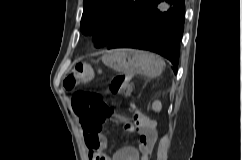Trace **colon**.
<instances>
[{
  "instance_id": "1",
  "label": "colon",
  "mask_w": 242,
  "mask_h": 160,
  "mask_svg": "<svg viewBox=\"0 0 242 160\" xmlns=\"http://www.w3.org/2000/svg\"><path fill=\"white\" fill-rule=\"evenodd\" d=\"M95 70L87 63L76 64L64 79V87L68 91L90 82L95 76ZM112 94L128 95L131 92L130 77L125 74L116 75L109 84ZM73 111L80 117L82 126L92 135L101 133L102 124L112 116L111 107L97 92L75 91L72 97ZM132 112H141L132 107ZM91 145L96 139L90 138Z\"/></svg>"
}]
</instances>
